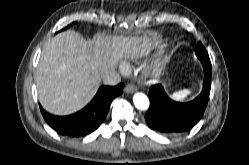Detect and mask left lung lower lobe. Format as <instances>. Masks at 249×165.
Instances as JSON below:
<instances>
[{
    "instance_id": "obj_1",
    "label": "left lung lower lobe",
    "mask_w": 249,
    "mask_h": 165,
    "mask_svg": "<svg viewBox=\"0 0 249 165\" xmlns=\"http://www.w3.org/2000/svg\"><path fill=\"white\" fill-rule=\"evenodd\" d=\"M204 80L201 93L192 101L176 102L163 91L161 85L150 87V106L145 114L147 125L166 135H178L190 131L201 119L211 89V65H203Z\"/></svg>"
}]
</instances>
